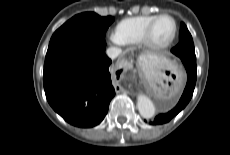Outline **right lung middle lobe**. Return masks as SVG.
Here are the masks:
<instances>
[{
    "label": "right lung middle lobe",
    "mask_w": 230,
    "mask_h": 155,
    "mask_svg": "<svg viewBox=\"0 0 230 155\" xmlns=\"http://www.w3.org/2000/svg\"><path fill=\"white\" fill-rule=\"evenodd\" d=\"M113 21L112 16L101 17L94 12L75 15L53 34L47 53L66 46L105 45V33Z\"/></svg>",
    "instance_id": "right-lung-middle-lobe-1"
}]
</instances>
